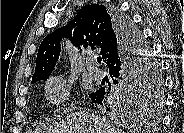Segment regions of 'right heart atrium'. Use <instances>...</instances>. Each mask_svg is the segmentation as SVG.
Masks as SVG:
<instances>
[{
    "mask_svg": "<svg viewBox=\"0 0 184 133\" xmlns=\"http://www.w3.org/2000/svg\"><path fill=\"white\" fill-rule=\"evenodd\" d=\"M71 85L62 75L50 78L45 85L47 99L56 106L64 105L70 98Z\"/></svg>",
    "mask_w": 184,
    "mask_h": 133,
    "instance_id": "d8ad5b80",
    "label": "right heart atrium"
}]
</instances>
